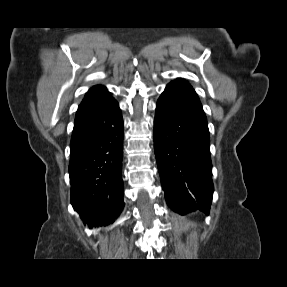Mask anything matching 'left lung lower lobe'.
Wrapping results in <instances>:
<instances>
[{
  "label": "left lung lower lobe",
  "instance_id": "left-lung-lower-lobe-1",
  "mask_svg": "<svg viewBox=\"0 0 287 287\" xmlns=\"http://www.w3.org/2000/svg\"><path fill=\"white\" fill-rule=\"evenodd\" d=\"M154 149L168 206L179 214H208L213 183L206 115L173 84L156 104Z\"/></svg>",
  "mask_w": 287,
  "mask_h": 287
}]
</instances>
